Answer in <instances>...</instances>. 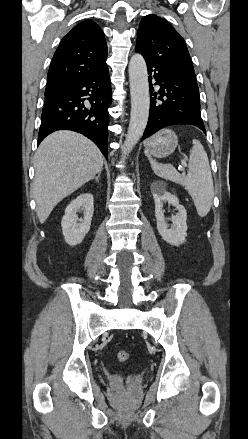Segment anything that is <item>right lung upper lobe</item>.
<instances>
[{"mask_svg": "<svg viewBox=\"0 0 248 439\" xmlns=\"http://www.w3.org/2000/svg\"><path fill=\"white\" fill-rule=\"evenodd\" d=\"M107 44L92 20L75 26L64 36L53 56L45 96L57 92L107 66Z\"/></svg>", "mask_w": 248, "mask_h": 439, "instance_id": "right-lung-upper-lobe-1", "label": "right lung upper lobe"}]
</instances>
